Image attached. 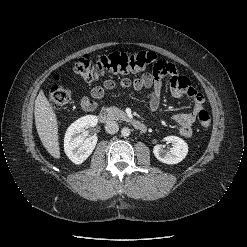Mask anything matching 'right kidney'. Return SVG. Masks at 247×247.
Masks as SVG:
<instances>
[{
    "label": "right kidney",
    "instance_id": "ca27d5eb",
    "mask_svg": "<svg viewBox=\"0 0 247 247\" xmlns=\"http://www.w3.org/2000/svg\"><path fill=\"white\" fill-rule=\"evenodd\" d=\"M97 122L96 116L87 115L68 127L64 137V151L73 163L79 165L92 154L97 144V136L93 135L85 139L80 133L84 132L86 127L96 126Z\"/></svg>",
    "mask_w": 247,
    "mask_h": 247
}]
</instances>
